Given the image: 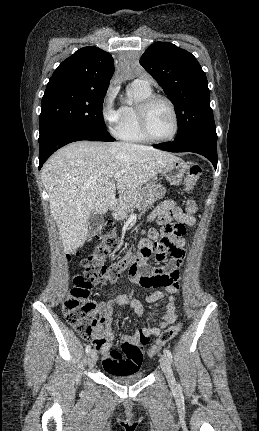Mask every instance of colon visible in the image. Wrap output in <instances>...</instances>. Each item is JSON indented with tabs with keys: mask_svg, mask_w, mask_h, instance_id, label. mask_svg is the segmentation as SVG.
I'll return each mask as SVG.
<instances>
[{
	"mask_svg": "<svg viewBox=\"0 0 259 431\" xmlns=\"http://www.w3.org/2000/svg\"><path fill=\"white\" fill-rule=\"evenodd\" d=\"M201 176V168L197 164H191L188 168L185 186L193 189ZM185 209L190 216L196 215V204L188 200ZM186 234V227L181 222L165 224L160 236L142 243L136 255L128 251L119 261L107 265L105 261L113 254L118 244L117 230L113 222H107L95 234L99 242L97 247L82 261L84 276L76 275L73 286L68 292L62 305L63 314L68 323L85 339H91L94 344H102L103 339L96 337L100 325V319L96 316L97 303L90 300L93 284H106L115 282L126 268L139 266L143 269L149 260L163 261L168 254L174 251V242ZM163 283V282H162ZM181 329V324H174L165 328L157 337L148 351L150 357L166 343H168ZM149 335L141 332L140 343L147 344ZM119 350L136 358L138 347L133 344L121 342ZM132 365H125L120 372L135 371Z\"/></svg>",
	"mask_w": 259,
	"mask_h": 431,
	"instance_id": "1",
	"label": "colon"
}]
</instances>
